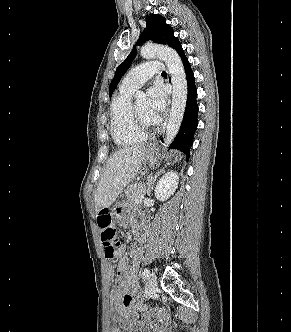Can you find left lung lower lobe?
I'll return each mask as SVG.
<instances>
[{"label":"left lung lower lobe","mask_w":291,"mask_h":332,"mask_svg":"<svg viewBox=\"0 0 291 332\" xmlns=\"http://www.w3.org/2000/svg\"><path fill=\"white\" fill-rule=\"evenodd\" d=\"M178 54L181 58L185 70L188 93L183 121L178 134L170 145V148L182 151L187 156V158H189L190 148L193 144L194 134L198 125V105L196 100L197 88L195 85L193 71L182 48L178 51Z\"/></svg>","instance_id":"0a47b994"}]
</instances>
